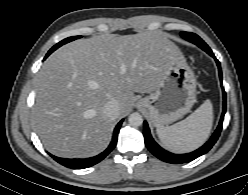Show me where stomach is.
<instances>
[{
	"label": "stomach",
	"instance_id": "stomach-1",
	"mask_svg": "<svg viewBox=\"0 0 248 195\" xmlns=\"http://www.w3.org/2000/svg\"><path fill=\"white\" fill-rule=\"evenodd\" d=\"M196 102V79L185 59H174L156 90L138 101L156 127L171 124L190 112Z\"/></svg>",
	"mask_w": 248,
	"mask_h": 195
}]
</instances>
